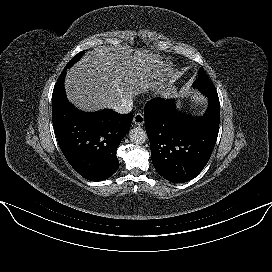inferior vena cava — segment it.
<instances>
[{
  "mask_svg": "<svg viewBox=\"0 0 272 272\" xmlns=\"http://www.w3.org/2000/svg\"><path fill=\"white\" fill-rule=\"evenodd\" d=\"M111 108L117 113L127 114L133 108V100L132 98H122L119 102L115 103Z\"/></svg>",
  "mask_w": 272,
  "mask_h": 272,
  "instance_id": "602c4592",
  "label": "inferior vena cava"
}]
</instances>
